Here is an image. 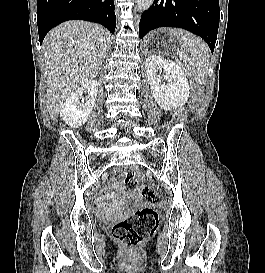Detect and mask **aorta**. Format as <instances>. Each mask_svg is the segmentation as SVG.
Masks as SVG:
<instances>
[{"instance_id": "1", "label": "aorta", "mask_w": 265, "mask_h": 273, "mask_svg": "<svg viewBox=\"0 0 265 273\" xmlns=\"http://www.w3.org/2000/svg\"><path fill=\"white\" fill-rule=\"evenodd\" d=\"M154 0H136L137 2V10L144 11L150 8Z\"/></svg>"}]
</instances>
